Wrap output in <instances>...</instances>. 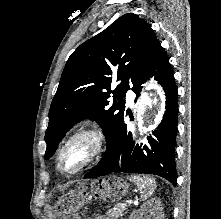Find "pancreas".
Instances as JSON below:
<instances>
[{"label": "pancreas", "instance_id": "1", "mask_svg": "<svg viewBox=\"0 0 221 219\" xmlns=\"http://www.w3.org/2000/svg\"><path fill=\"white\" fill-rule=\"evenodd\" d=\"M126 210V208L124 206L121 205H116L114 206V208L109 209L106 213H105V219H118L119 217H121L123 215V212Z\"/></svg>", "mask_w": 221, "mask_h": 219}]
</instances>
